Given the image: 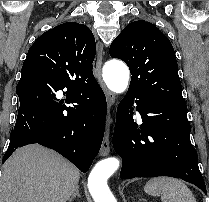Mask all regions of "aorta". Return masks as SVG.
I'll return each instance as SVG.
<instances>
[{
  "mask_svg": "<svg viewBox=\"0 0 209 202\" xmlns=\"http://www.w3.org/2000/svg\"><path fill=\"white\" fill-rule=\"evenodd\" d=\"M103 79L111 91L122 93L128 86L129 69L123 62L109 61L103 68ZM118 167L119 160L115 157L103 159L94 166L88 177V188L94 202H116L107 180Z\"/></svg>",
  "mask_w": 209,
  "mask_h": 202,
  "instance_id": "1",
  "label": "aorta"
}]
</instances>
